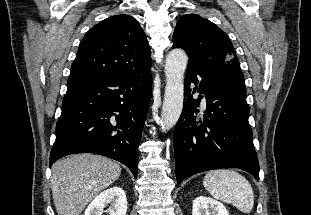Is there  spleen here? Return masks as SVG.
<instances>
[{"mask_svg": "<svg viewBox=\"0 0 311 215\" xmlns=\"http://www.w3.org/2000/svg\"><path fill=\"white\" fill-rule=\"evenodd\" d=\"M205 189L216 199L233 204L248 214L254 205V193L249 181L234 170L209 171L203 180Z\"/></svg>", "mask_w": 311, "mask_h": 215, "instance_id": "obj_1", "label": "spleen"}]
</instances>
